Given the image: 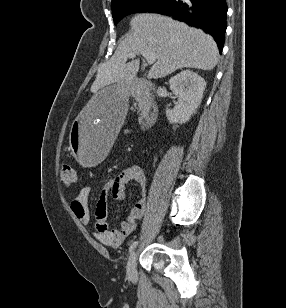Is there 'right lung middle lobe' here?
<instances>
[{
  "label": "right lung middle lobe",
  "instance_id": "1",
  "mask_svg": "<svg viewBox=\"0 0 286 308\" xmlns=\"http://www.w3.org/2000/svg\"><path fill=\"white\" fill-rule=\"evenodd\" d=\"M168 0H119L111 5L115 25L123 17L132 13L153 12Z\"/></svg>",
  "mask_w": 286,
  "mask_h": 308
}]
</instances>
